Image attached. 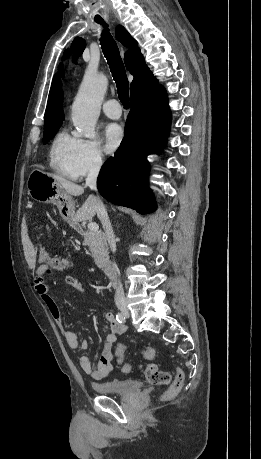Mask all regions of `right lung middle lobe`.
<instances>
[{"mask_svg": "<svg viewBox=\"0 0 261 459\" xmlns=\"http://www.w3.org/2000/svg\"><path fill=\"white\" fill-rule=\"evenodd\" d=\"M62 123L44 125L43 142L46 144L60 128Z\"/></svg>", "mask_w": 261, "mask_h": 459, "instance_id": "dd1d6c3e", "label": "right lung middle lobe"}]
</instances>
